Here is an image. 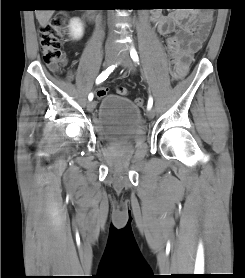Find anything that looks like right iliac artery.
<instances>
[{
    "label": "right iliac artery",
    "instance_id": "obj_1",
    "mask_svg": "<svg viewBox=\"0 0 245 278\" xmlns=\"http://www.w3.org/2000/svg\"><path fill=\"white\" fill-rule=\"evenodd\" d=\"M115 65H112L110 67H108L105 71H103L96 79V84H100L101 82H103L108 76L109 74L114 70ZM88 99L91 101L93 99V94L90 93L88 96Z\"/></svg>",
    "mask_w": 245,
    "mask_h": 278
}]
</instances>
